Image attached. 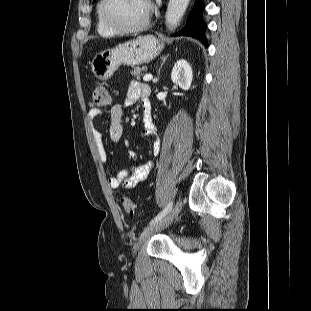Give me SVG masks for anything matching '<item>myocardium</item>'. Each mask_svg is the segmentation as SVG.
Returning a JSON list of instances; mask_svg holds the SVG:
<instances>
[{
  "instance_id": "1",
  "label": "myocardium",
  "mask_w": 311,
  "mask_h": 311,
  "mask_svg": "<svg viewBox=\"0 0 311 311\" xmlns=\"http://www.w3.org/2000/svg\"><path fill=\"white\" fill-rule=\"evenodd\" d=\"M101 1H102L101 5H100L101 18H102L103 22L105 23V25L108 26L115 33H119V34L138 33V32L145 30L151 22L152 8H151V5L149 2H148L149 3V12H148L147 17L144 19V21L141 22L140 24L136 25V26L124 27V26L119 25L115 21H113L108 14V7H109L111 0H101Z\"/></svg>"
}]
</instances>
